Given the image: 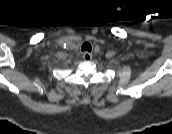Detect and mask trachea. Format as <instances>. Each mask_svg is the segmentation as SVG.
<instances>
[{
  "mask_svg": "<svg viewBox=\"0 0 172 134\" xmlns=\"http://www.w3.org/2000/svg\"><path fill=\"white\" fill-rule=\"evenodd\" d=\"M91 49H92V47H91V44L89 42H85L82 45V47H81L82 51H89V52H91Z\"/></svg>",
  "mask_w": 172,
  "mask_h": 134,
  "instance_id": "1",
  "label": "trachea"
}]
</instances>
